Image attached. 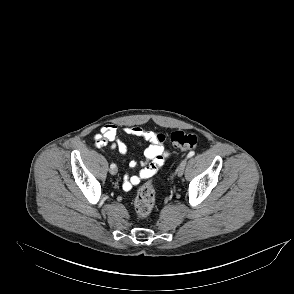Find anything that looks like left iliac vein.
I'll use <instances>...</instances> for the list:
<instances>
[{
  "label": "left iliac vein",
  "instance_id": "1",
  "mask_svg": "<svg viewBox=\"0 0 294 294\" xmlns=\"http://www.w3.org/2000/svg\"><path fill=\"white\" fill-rule=\"evenodd\" d=\"M185 164H186V159H184V160L181 162L180 166H179V169H178V172H177L178 176H182V175H183V173H184V168H185Z\"/></svg>",
  "mask_w": 294,
  "mask_h": 294
}]
</instances>
